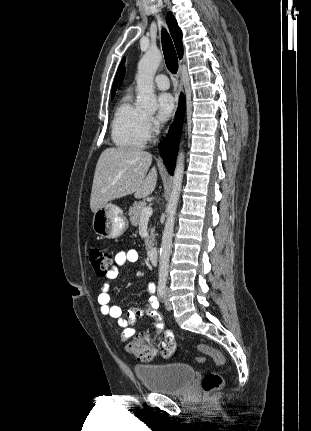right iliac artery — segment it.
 <instances>
[{
    "label": "right iliac artery",
    "mask_w": 311,
    "mask_h": 431,
    "mask_svg": "<svg viewBox=\"0 0 311 431\" xmlns=\"http://www.w3.org/2000/svg\"><path fill=\"white\" fill-rule=\"evenodd\" d=\"M157 292H158V297H159L161 300H163V299H164V297H165V292H166V286H165V283H159V284H158V290H157Z\"/></svg>",
    "instance_id": "right-iliac-artery-1"
}]
</instances>
